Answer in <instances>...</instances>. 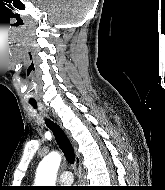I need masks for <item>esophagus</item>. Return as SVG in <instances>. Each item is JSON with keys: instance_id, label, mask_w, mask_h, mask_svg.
I'll return each mask as SVG.
<instances>
[{"instance_id": "obj_1", "label": "esophagus", "mask_w": 165, "mask_h": 190, "mask_svg": "<svg viewBox=\"0 0 165 190\" xmlns=\"http://www.w3.org/2000/svg\"><path fill=\"white\" fill-rule=\"evenodd\" d=\"M76 164H77V168H78L79 181H82L83 171H82V165H81V158L78 154H76Z\"/></svg>"}]
</instances>
